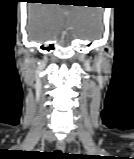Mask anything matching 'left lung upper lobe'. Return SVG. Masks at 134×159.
Segmentation results:
<instances>
[{"label":"left lung upper lobe","instance_id":"5c2ea615","mask_svg":"<svg viewBox=\"0 0 134 159\" xmlns=\"http://www.w3.org/2000/svg\"><path fill=\"white\" fill-rule=\"evenodd\" d=\"M84 159H96V157L84 158Z\"/></svg>","mask_w":134,"mask_h":159}]
</instances>
